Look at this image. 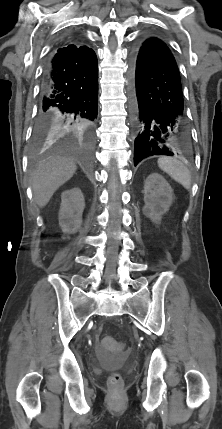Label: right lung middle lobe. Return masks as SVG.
I'll return each mask as SVG.
<instances>
[{"label": "right lung middle lobe", "mask_w": 222, "mask_h": 429, "mask_svg": "<svg viewBox=\"0 0 222 429\" xmlns=\"http://www.w3.org/2000/svg\"><path fill=\"white\" fill-rule=\"evenodd\" d=\"M54 134L51 129L36 128L33 134L34 147L38 148L42 146L47 140H50Z\"/></svg>", "instance_id": "1"}]
</instances>
